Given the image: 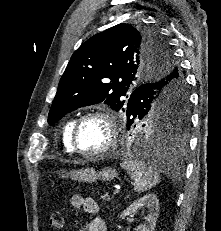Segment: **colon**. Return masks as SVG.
<instances>
[{
	"mask_svg": "<svg viewBox=\"0 0 221 231\" xmlns=\"http://www.w3.org/2000/svg\"><path fill=\"white\" fill-rule=\"evenodd\" d=\"M64 226V218L60 212H54L49 218V228L52 230H60Z\"/></svg>",
	"mask_w": 221,
	"mask_h": 231,
	"instance_id": "5ec220e1",
	"label": "colon"
}]
</instances>
